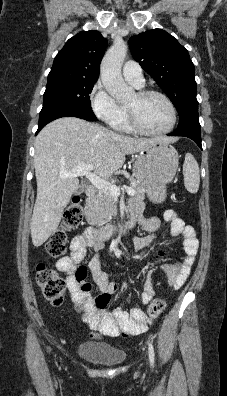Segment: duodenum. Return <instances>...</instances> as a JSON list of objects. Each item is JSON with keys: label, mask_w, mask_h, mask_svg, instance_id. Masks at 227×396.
<instances>
[{"label": "duodenum", "mask_w": 227, "mask_h": 396, "mask_svg": "<svg viewBox=\"0 0 227 396\" xmlns=\"http://www.w3.org/2000/svg\"><path fill=\"white\" fill-rule=\"evenodd\" d=\"M96 196V189L92 186L86 190L87 202L90 203ZM133 226L132 221L124 223L110 224L99 229L93 230L90 234V239L94 244H101L102 242L121 234L128 232Z\"/></svg>", "instance_id": "410a0bca"}]
</instances>
